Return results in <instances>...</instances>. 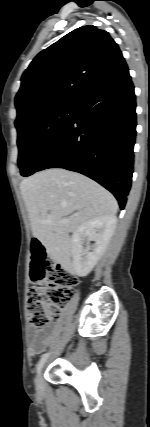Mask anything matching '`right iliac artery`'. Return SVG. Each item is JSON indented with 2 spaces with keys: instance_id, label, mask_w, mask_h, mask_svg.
Listing matches in <instances>:
<instances>
[{
  "instance_id": "right-iliac-artery-1",
  "label": "right iliac artery",
  "mask_w": 150,
  "mask_h": 427,
  "mask_svg": "<svg viewBox=\"0 0 150 427\" xmlns=\"http://www.w3.org/2000/svg\"><path fill=\"white\" fill-rule=\"evenodd\" d=\"M48 356H49V353H45L42 355V358L37 365V372L38 373L40 372L41 368L43 367L44 363L46 362Z\"/></svg>"
}]
</instances>
